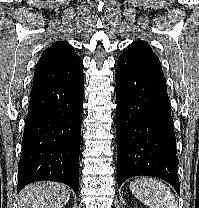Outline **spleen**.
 Listing matches in <instances>:
<instances>
[{
    "label": "spleen",
    "instance_id": "spleen-1",
    "mask_svg": "<svg viewBox=\"0 0 199 208\" xmlns=\"http://www.w3.org/2000/svg\"><path fill=\"white\" fill-rule=\"evenodd\" d=\"M130 190L150 208H177L171 189L154 178L143 177L130 184Z\"/></svg>",
    "mask_w": 199,
    "mask_h": 208
}]
</instances>
